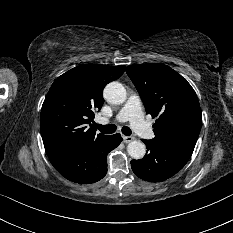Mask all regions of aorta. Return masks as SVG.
<instances>
[{
    "mask_svg": "<svg viewBox=\"0 0 233 233\" xmlns=\"http://www.w3.org/2000/svg\"><path fill=\"white\" fill-rule=\"evenodd\" d=\"M103 95L106 101L112 104H122L127 97L124 86L116 81L106 85ZM127 152L132 158L141 159L146 153V146L143 142L134 140L128 144Z\"/></svg>",
    "mask_w": 233,
    "mask_h": 233,
    "instance_id": "1",
    "label": "aorta"
}]
</instances>
